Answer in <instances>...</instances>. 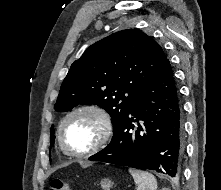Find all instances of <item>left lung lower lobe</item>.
I'll use <instances>...</instances> for the list:
<instances>
[{
  "mask_svg": "<svg viewBox=\"0 0 221 190\" xmlns=\"http://www.w3.org/2000/svg\"><path fill=\"white\" fill-rule=\"evenodd\" d=\"M181 104L168 59L113 126L110 144L89 157L178 177L184 153Z\"/></svg>",
  "mask_w": 221,
  "mask_h": 190,
  "instance_id": "0a47b994",
  "label": "left lung lower lobe"
}]
</instances>
